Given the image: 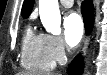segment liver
<instances>
[{
    "mask_svg": "<svg viewBox=\"0 0 107 75\" xmlns=\"http://www.w3.org/2000/svg\"><path fill=\"white\" fill-rule=\"evenodd\" d=\"M17 75H29L27 72H20ZM48 75H58V74H48Z\"/></svg>",
    "mask_w": 107,
    "mask_h": 75,
    "instance_id": "1",
    "label": "liver"
}]
</instances>
